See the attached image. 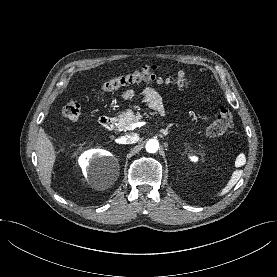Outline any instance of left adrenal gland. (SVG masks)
Returning a JSON list of instances; mask_svg holds the SVG:
<instances>
[{
    "instance_id": "a2214340",
    "label": "left adrenal gland",
    "mask_w": 277,
    "mask_h": 277,
    "mask_svg": "<svg viewBox=\"0 0 277 277\" xmlns=\"http://www.w3.org/2000/svg\"><path fill=\"white\" fill-rule=\"evenodd\" d=\"M171 126H172L171 124L168 125V126L166 127V129H162L160 132L163 133L164 136H166V135L168 134V130H169V128H170Z\"/></svg>"
}]
</instances>
